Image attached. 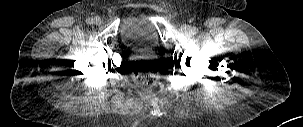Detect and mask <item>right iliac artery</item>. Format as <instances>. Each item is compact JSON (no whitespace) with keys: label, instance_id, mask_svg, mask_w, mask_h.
Listing matches in <instances>:
<instances>
[{"label":"right iliac artery","instance_id":"right-iliac-artery-1","mask_svg":"<svg viewBox=\"0 0 303 127\" xmlns=\"http://www.w3.org/2000/svg\"><path fill=\"white\" fill-rule=\"evenodd\" d=\"M93 22H94V19H93V18H88V19L86 20V23L89 24V25L93 24Z\"/></svg>","mask_w":303,"mask_h":127}]
</instances>
